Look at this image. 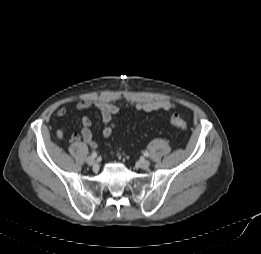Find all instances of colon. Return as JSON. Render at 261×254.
I'll list each match as a JSON object with an SVG mask.
<instances>
[{
    "mask_svg": "<svg viewBox=\"0 0 261 254\" xmlns=\"http://www.w3.org/2000/svg\"><path fill=\"white\" fill-rule=\"evenodd\" d=\"M169 123L180 131H185L187 129L186 121L176 113L169 116Z\"/></svg>",
    "mask_w": 261,
    "mask_h": 254,
    "instance_id": "5ec220e1",
    "label": "colon"
}]
</instances>
